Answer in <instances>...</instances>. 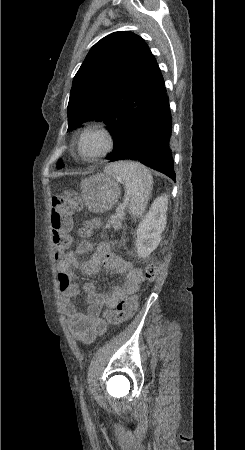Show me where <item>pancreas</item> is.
Returning a JSON list of instances; mask_svg holds the SVG:
<instances>
[{
	"instance_id": "cf45deb5",
	"label": "pancreas",
	"mask_w": 245,
	"mask_h": 450,
	"mask_svg": "<svg viewBox=\"0 0 245 450\" xmlns=\"http://www.w3.org/2000/svg\"><path fill=\"white\" fill-rule=\"evenodd\" d=\"M123 213H116L114 215H112L109 219V224H111L113 226L114 229H121L122 227V220H123Z\"/></svg>"
}]
</instances>
